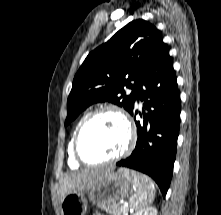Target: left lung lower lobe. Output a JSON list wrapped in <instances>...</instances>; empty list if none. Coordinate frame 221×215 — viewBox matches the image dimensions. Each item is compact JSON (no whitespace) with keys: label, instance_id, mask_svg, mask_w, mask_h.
<instances>
[{"label":"left lung lower lobe","instance_id":"1","mask_svg":"<svg viewBox=\"0 0 221 215\" xmlns=\"http://www.w3.org/2000/svg\"><path fill=\"white\" fill-rule=\"evenodd\" d=\"M143 103V122H137L138 139L132 154L116 163L149 175L158 184L165 197L176 158V145L180 125V92L165 44L161 46L153 63L137 89L135 100ZM135 102V101H134ZM137 114L134 106L130 114Z\"/></svg>","mask_w":221,"mask_h":215}]
</instances>
